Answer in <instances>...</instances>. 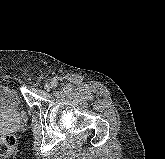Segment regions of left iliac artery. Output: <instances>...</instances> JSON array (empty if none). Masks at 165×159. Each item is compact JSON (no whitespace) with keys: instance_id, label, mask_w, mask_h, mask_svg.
I'll list each match as a JSON object with an SVG mask.
<instances>
[{"instance_id":"1","label":"left iliac artery","mask_w":165,"mask_h":159,"mask_svg":"<svg viewBox=\"0 0 165 159\" xmlns=\"http://www.w3.org/2000/svg\"><path fill=\"white\" fill-rule=\"evenodd\" d=\"M53 87H54V88L57 87V82H53Z\"/></svg>"}]
</instances>
